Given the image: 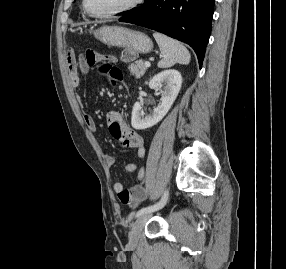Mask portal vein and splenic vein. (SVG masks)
<instances>
[{"label": "portal vein and splenic vein", "mask_w": 286, "mask_h": 269, "mask_svg": "<svg viewBox=\"0 0 286 269\" xmlns=\"http://www.w3.org/2000/svg\"><path fill=\"white\" fill-rule=\"evenodd\" d=\"M145 66H146V67H150V62H149V61H146V62H145Z\"/></svg>", "instance_id": "portal-vein-and-splenic-vein-1"}]
</instances>
